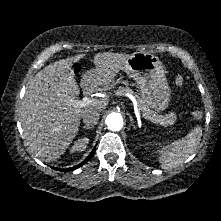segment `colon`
<instances>
[{"mask_svg": "<svg viewBox=\"0 0 221 221\" xmlns=\"http://www.w3.org/2000/svg\"><path fill=\"white\" fill-rule=\"evenodd\" d=\"M175 83H176V85H178V86H182V85L184 84V79H183V77L180 76V75L176 76V77H175ZM192 116H193V118H194L195 120H199V119L202 118L203 112H202L201 110H198V109H197V110L193 111Z\"/></svg>", "mask_w": 221, "mask_h": 221, "instance_id": "obj_1", "label": "colon"}]
</instances>
